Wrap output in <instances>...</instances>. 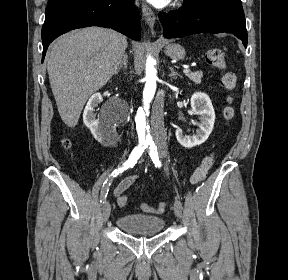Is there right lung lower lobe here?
I'll return each mask as SVG.
<instances>
[{
    "label": "right lung lower lobe",
    "instance_id": "1",
    "mask_svg": "<svg viewBox=\"0 0 288 280\" xmlns=\"http://www.w3.org/2000/svg\"><path fill=\"white\" fill-rule=\"evenodd\" d=\"M103 26L140 40V14L133 0H49L42 27L43 55L61 34L82 27Z\"/></svg>",
    "mask_w": 288,
    "mask_h": 280
}]
</instances>
